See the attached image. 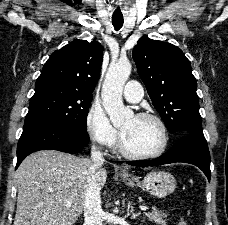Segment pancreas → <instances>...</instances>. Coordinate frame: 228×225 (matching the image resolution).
<instances>
[{"mask_svg":"<svg viewBox=\"0 0 228 225\" xmlns=\"http://www.w3.org/2000/svg\"><path fill=\"white\" fill-rule=\"evenodd\" d=\"M146 217H148L149 221H154L156 225H166L167 215L162 213V211H158V209H153L151 213H146Z\"/></svg>","mask_w":228,"mask_h":225,"instance_id":"pancreas-1","label":"pancreas"}]
</instances>
